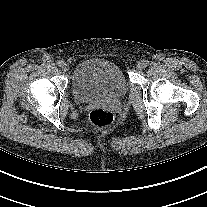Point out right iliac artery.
Instances as JSON below:
<instances>
[{
	"instance_id": "obj_1",
	"label": "right iliac artery",
	"mask_w": 207,
	"mask_h": 207,
	"mask_svg": "<svg viewBox=\"0 0 207 207\" xmlns=\"http://www.w3.org/2000/svg\"><path fill=\"white\" fill-rule=\"evenodd\" d=\"M63 64H64V61H62V60H59V61L57 62V65H58L59 67H61Z\"/></svg>"
}]
</instances>
